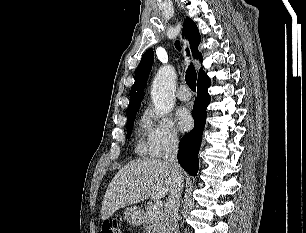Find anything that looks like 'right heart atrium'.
I'll use <instances>...</instances> for the list:
<instances>
[{"instance_id":"right-heart-atrium-1","label":"right heart atrium","mask_w":306,"mask_h":233,"mask_svg":"<svg viewBox=\"0 0 306 233\" xmlns=\"http://www.w3.org/2000/svg\"><path fill=\"white\" fill-rule=\"evenodd\" d=\"M147 152L152 157H160L179 144V133L169 116L157 115L149 109L145 114Z\"/></svg>"}]
</instances>
